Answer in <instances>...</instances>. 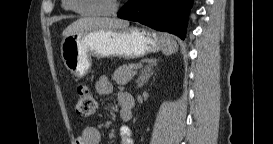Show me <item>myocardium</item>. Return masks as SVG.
<instances>
[{"label":"myocardium","instance_id":"myocardium-1","mask_svg":"<svg viewBox=\"0 0 273 144\" xmlns=\"http://www.w3.org/2000/svg\"><path fill=\"white\" fill-rule=\"evenodd\" d=\"M76 2V0H69L70 8L78 14L88 16H102L113 14L118 10L120 4L118 0H114L113 4L110 7L103 10H83L77 7Z\"/></svg>","mask_w":273,"mask_h":144}]
</instances>
